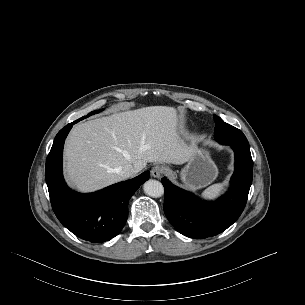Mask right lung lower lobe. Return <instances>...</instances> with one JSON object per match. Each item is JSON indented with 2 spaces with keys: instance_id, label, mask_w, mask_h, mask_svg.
<instances>
[{
  "instance_id": "right-lung-lower-lobe-1",
  "label": "right lung lower lobe",
  "mask_w": 305,
  "mask_h": 305,
  "mask_svg": "<svg viewBox=\"0 0 305 305\" xmlns=\"http://www.w3.org/2000/svg\"><path fill=\"white\" fill-rule=\"evenodd\" d=\"M69 123L56 135L46 160L45 178L53 211L59 221L81 239L105 242L120 233L128 217L130 197L150 172L90 194L71 191L62 174L63 145L72 126Z\"/></svg>"
}]
</instances>
